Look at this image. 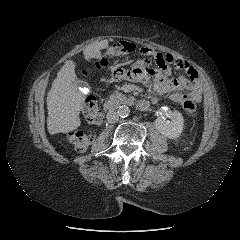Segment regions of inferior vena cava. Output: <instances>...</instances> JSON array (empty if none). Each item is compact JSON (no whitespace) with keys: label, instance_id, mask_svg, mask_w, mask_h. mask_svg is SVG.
<instances>
[{"label":"inferior vena cava","instance_id":"inferior-vena-cava-1","mask_svg":"<svg viewBox=\"0 0 240 240\" xmlns=\"http://www.w3.org/2000/svg\"><path fill=\"white\" fill-rule=\"evenodd\" d=\"M106 118L109 123H116L119 119V115L117 112L110 111L107 113Z\"/></svg>","mask_w":240,"mask_h":240}]
</instances>
